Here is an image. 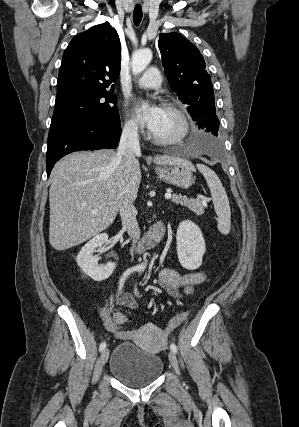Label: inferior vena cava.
<instances>
[{"label":"inferior vena cava","instance_id":"obj_1","mask_svg":"<svg viewBox=\"0 0 299 427\" xmlns=\"http://www.w3.org/2000/svg\"><path fill=\"white\" fill-rule=\"evenodd\" d=\"M140 144L137 128L134 126L124 127L117 150V158L125 159V166L128 171L131 169L136 155H140ZM119 212L122 220V225L132 239L136 243L140 239V228L136 219L137 210L133 202L125 196L119 206Z\"/></svg>","mask_w":299,"mask_h":427}]
</instances>
